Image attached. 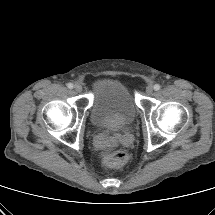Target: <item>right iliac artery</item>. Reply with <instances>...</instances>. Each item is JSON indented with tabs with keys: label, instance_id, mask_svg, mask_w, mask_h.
<instances>
[{
	"label": "right iliac artery",
	"instance_id": "82829eb1",
	"mask_svg": "<svg viewBox=\"0 0 215 215\" xmlns=\"http://www.w3.org/2000/svg\"><path fill=\"white\" fill-rule=\"evenodd\" d=\"M67 87H68L69 89H72V88H73V84H72V83H68V84H67Z\"/></svg>",
	"mask_w": 215,
	"mask_h": 215
}]
</instances>
